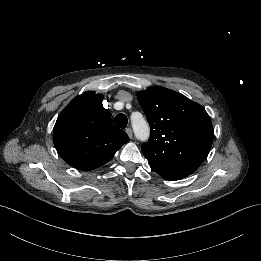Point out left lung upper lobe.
Wrapping results in <instances>:
<instances>
[{
    "mask_svg": "<svg viewBox=\"0 0 261 261\" xmlns=\"http://www.w3.org/2000/svg\"><path fill=\"white\" fill-rule=\"evenodd\" d=\"M137 98L151 127L141 149L152 170L166 180H180L195 172L213 142V126L205 109L161 86L140 91Z\"/></svg>",
    "mask_w": 261,
    "mask_h": 261,
    "instance_id": "obj_1",
    "label": "left lung upper lobe"
}]
</instances>
